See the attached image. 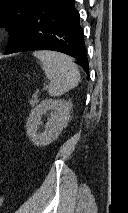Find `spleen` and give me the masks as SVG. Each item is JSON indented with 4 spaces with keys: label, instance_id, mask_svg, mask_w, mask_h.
<instances>
[{
    "label": "spleen",
    "instance_id": "spleen-1",
    "mask_svg": "<svg viewBox=\"0 0 128 213\" xmlns=\"http://www.w3.org/2000/svg\"><path fill=\"white\" fill-rule=\"evenodd\" d=\"M33 55L41 61L50 80V96H60L78 85L80 73L71 57L54 51H34Z\"/></svg>",
    "mask_w": 128,
    "mask_h": 213
}]
</instances>
